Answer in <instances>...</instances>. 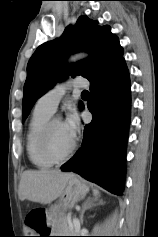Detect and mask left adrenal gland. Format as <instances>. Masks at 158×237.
<instances>
[{"label":"left adrenal gland","mask_w":158,"mask_h":237,"mask_svg":"<svg viewBox=\"0 0 158 237\" xmlns=\"http://www.w3.org/2000/svg\"><path fill=\"white\" fill-rule=\"evenodd\" d=\"M98 204H103V201L100 200ZM93 206H96L93 201L88 198L82 205V210H81V213H80V221L81 223H83V216H84V213L86 210L92 208Z\"/></svg>","instance_id":"1"}]
</instances>
